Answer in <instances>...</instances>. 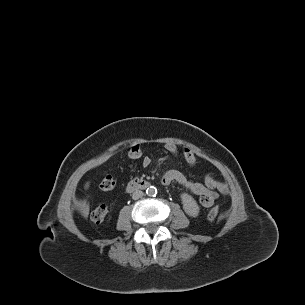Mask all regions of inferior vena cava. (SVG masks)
<instances>
[{
	"mask_svg": "<svg viewBox=\"0 0 305 305\" xmlns=\"http://www.w3.org/2000/svg\"><path fill=\"white\" fill-rule=\"evenodd\" d=\"M143 195H144L143 191H141V190H136V191L132 194V198H133L134 200H138V199L142 198Z\"/></svg>",
	"mask_w": 305,
	"mask_h": 305,
	"instance_id": "inferior-vena-cava-1",
	"label": "inferior vena cava"
}]
</instances>
